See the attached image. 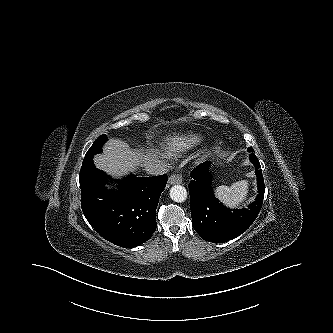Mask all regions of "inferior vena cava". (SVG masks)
I'll return each mask as SVG.
<instances>
[{
	"mask_svg": "<svg viewBox=\"0 0 333 333\" xmlns=\"http://www.w3.org/2000/svg\"><path fill=\"white\" fill-rule=\"evenodd\" d=\"M145 171L153 176L162 175L168 172V166L163 161H150L145 164Z\"/></svg>",
	"mask_w": 333,
	"mask_h": 333,
	"instance_id": "1",
	"label": "inferior vena cava"
}]
</instances>
